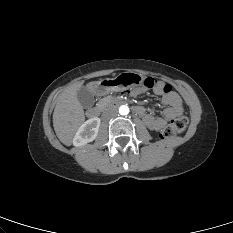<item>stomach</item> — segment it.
Masks as SVG:
<instances>
[{"label": "stomach", "mask_w": 233, "mask_h": 233, "mask_svg": "<svg viewBox=\"0 0 233 233\" xmlns=\"http://www.w3.org/2000/svg\"><path fill=\"white\" fill-rule=\"evenodd\" d=\"M143 77L134 73H127L115 77H108L105 81H100L94 84L95 91L98 95L107 93L124 94L128 89H137L141 85Z\"/></svg>", "instance_id": "stomach-1"}]
</instances>
